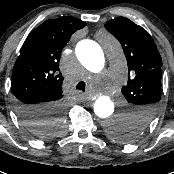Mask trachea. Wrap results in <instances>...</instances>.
Returning <instances> with one entry per match:
<instances>
[{
    "instance_id": "1",
    "label": "trachea",
    "mask_w": 174,
    "mask_h": 174,
    "mask_svg": "<svg viewBox=\"0 0 174 174\" xmlns=\"http://www.w3.org/2000/svg\"><path fill=\"white\" fill-rule=\"evenodd\" d=\"M76 89L85 91V82H79L76 86Z\"/></svg>"
}]
</instances>
